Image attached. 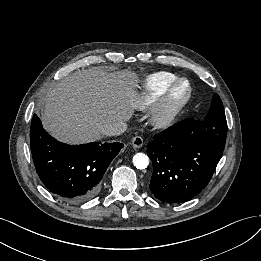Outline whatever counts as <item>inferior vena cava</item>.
Segmentation results:
<instances>
[{
	"mask_svg": "<svg viewBox=\"0 0 261 261\" xmlns=\"http://www.w3.org/2000/svg\"><path fill=\"white\" fill-rule=\"evenodd\" d=\"M127 130V124L119 121L105 125L101 129V133L106 136H118L123 134Z\"/></svg>",
	"mask_w": 261,
	"mask_h": 261,
	"instance_id": "602c4592",
	"label": "inferior vena cava"
}]
</instances>
